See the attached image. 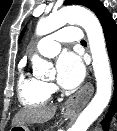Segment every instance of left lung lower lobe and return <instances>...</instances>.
<instances>
[{"instance_id":"left-lung-lower-lobe-1","label":"left lung lower lobe","mask_w":117,"mask_h":131,"mask_svg":"<svg viewBox=\"0 0 117 131\" xmlns=\"http://www.w3.org/2000/svg\"><path fill=\"white\" fill-rule=\"evenodd\" d=\"M96 16L98 17L104 31L108 55L114 75V94L109 112L106 115V119L109 122L111 116L117 109V25L113 20L112 15L105 7L102 8Z\"/></svg>"}]
</instances>
